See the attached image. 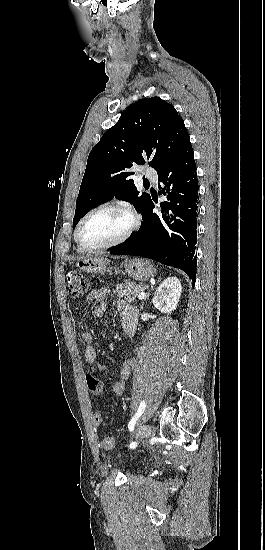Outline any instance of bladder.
<instances>
[{"mask_svg": "<svg viewBox=\"0 0 265 550\" xmlns=\"http://www.w3.org/2000/svg\"><path fill=\"white\" fill-rule=\"evenodd\" d=\"M114 458H115V459H119V458H120V453H115V454H114Z\"/></svg>", "mask_w": 265, "mask_h": 550, "instance_id": "bladder-1", "label": "bladder"}]
</instances>
